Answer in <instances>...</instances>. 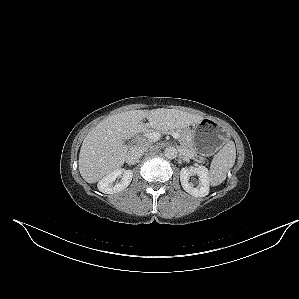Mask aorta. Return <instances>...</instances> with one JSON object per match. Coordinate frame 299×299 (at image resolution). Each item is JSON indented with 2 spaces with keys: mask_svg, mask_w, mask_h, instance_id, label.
I'll return each mask as SVG.
<instances>
[{
  "mask_svg": "<svg viewBox=\"0 0 299 299\" xmlns=\"http://www.w3.org/2000/svg\"><path fill=\"white\" fill-rule=\"evenodd\" d=\"M178 151L175 147L169 146L164 150V155L168 159H174L177 157Z\"/></svg>",
  "mask_w": 299,
  "mask_h": 299,
  "instance_id": "obj_1",
  "label": "aorta"
}]
</instances>
